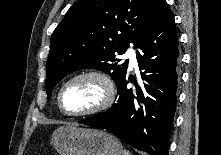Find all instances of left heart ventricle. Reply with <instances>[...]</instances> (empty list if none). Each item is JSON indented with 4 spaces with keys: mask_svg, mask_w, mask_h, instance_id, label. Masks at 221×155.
<instances>
[{
    "mask_svg": "<svg viewBox=\"0 0 221 155\" xmlns=\"http://www.w3.org/2000/svg\"><path fill=\"white\" fill-rule=\"evenodd\" d=\"M103 95L101 84L94 79H82L70 84L63 92L64 107L71 112H81L97 105Z\"/></svg>",
    "mask_w": 221,
    "mask_h": 155,
    "instance_id": "b2bd125f",
    "label": "left heart ventricle"
}]
</instances>
